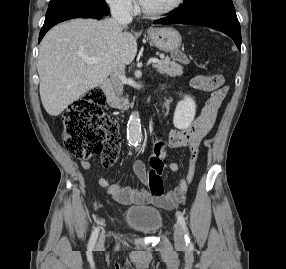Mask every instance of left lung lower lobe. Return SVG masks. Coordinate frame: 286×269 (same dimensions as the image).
Listing matches in <instances>:
<instances>
[{
  "label": "left lung lower lobe",
  "instance_id": "1",
  "mask_svg": "<svg viewBox=\"0 0 286 269\" xmlns=\"http://www.w3.org/2000/svg\"><path fill=\"white\" fill-rule=\"evenodd\" d=\"M155 24H190L209 27L231 37L241 51V29L235 9H205L191 13H179L154 22Z\"/></svg>",
  "mask_w": 286,
  "mask_h": 269
}]
</instances>
